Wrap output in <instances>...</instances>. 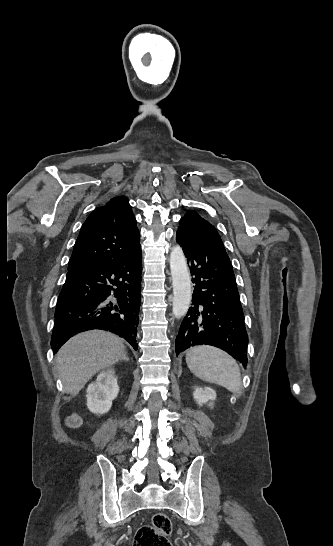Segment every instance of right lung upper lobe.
I'll return each instance as SVG.
<instances>
[{
    "mask_svg": "<svg viewBox=\"0 0 333 546\" xmlns=\"http://www.w3.org/2000/svg\"><path fill=\"white\" fill-rule=\"evenodd\" d=\"M128 199L115 197L96 208L81 227L68 271L119 261L140 247V233Z\"/></svg>",
    "mask_w": 333,
    "mask_h": 546,
    "instance_id": "cb5924a9",
    "label": "right lung upper lobe"
}]
</instances>
